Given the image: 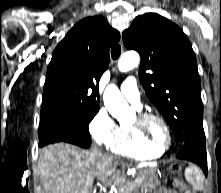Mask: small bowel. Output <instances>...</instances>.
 I'll return each instance as SVG.
<instances>
[{"instance_id":"1","label":"small bowel","mask_w":221,"mask_h":193,"mask_svg":"<svg viewBox=\"0 0 221 193\" xmlns=\"http://www.w3.org/2000/svg\"><path fill=\"white\" fill-rule=\"evenodd\" d=\"M155 193H182L180 189L175 190L173 188H161L158 189Z\"/></svg>"}]
</instances>
